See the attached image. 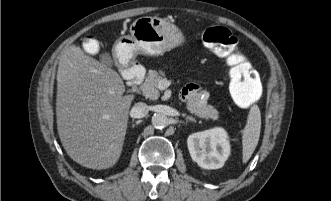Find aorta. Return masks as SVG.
<instances>
[{
	"instance_id": "762f6f07",
	"label": "aorta",
	"mask_w": 331,
	"mask_h": 201,
	"mask_svg": "<svg viewBox=\"0 0 331 201\" xmlns=\"http://www.w3.org/2000/svg\"><path fill=\"white\" fill-rule=\"evenodd\" d=\"M152 125L157 129H163L168 125V117L162 113H156L152 116Z\"/></svg>"
}]
</instances>
